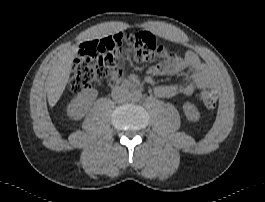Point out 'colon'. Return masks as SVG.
<instances>
[{"instance_id":"obj_1","label":"colon","mask_w":265,"mask_h":202,"mask_svg":"<svg viewBox=\"0 0 265 202\" xmlns=\"http://www.w3.org/2000/svg\"><path fill=\"white\" fill-rule=\"evenodd\" d=\"M100 53L77 57L72 63L68 85L72 93H80L92 85L105 80L116 79L123 75L121 51H131L138 60H149L165 52V47L158 45L149 35L119 32L99 39ZM97 45V46H98ZM201 104L207 109H214L218 100V89L205 87L199 90Z\"/></svg>"}]
</instances>
